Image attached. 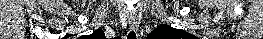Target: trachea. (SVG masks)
I'll return each instance as SVG.
<instances>
[{"mask_svg":"<svg viewBox=\"0 0 263 39\" xmlns=\"http://www.w3.org/2000/svg\"><path fill=\"white\" fill-rule=\"evenodd\" d=\"M127 39H136V33L134 31L129 32Z\"/></svg>","mask_w":263,"mask_h":39,"instance_id":"3493384b","label":"trachea"}]
</instances>
